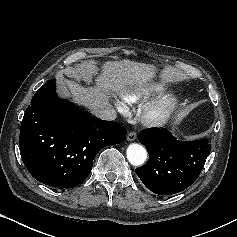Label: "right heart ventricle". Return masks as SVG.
Returning <instances> with one entry per match:
<instances>
[{
  "instance_id": "1",
  "label": "right heart ventricle",
  "mask_w": 237,
  "mask_h": 237,
  "mask_svg": "<svg viewBox=\"0 0 237 237\" xmlns=\"http://www.w3.org/2000/svg\"><path fill=\"white\" fill-rule=\"evenodd\" d=\"M124 99L128 102H136L139 99V96L136 94H128Z\"/></svg>"
}]
</instances>
